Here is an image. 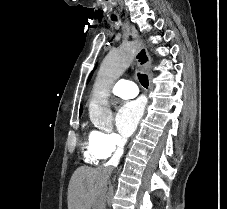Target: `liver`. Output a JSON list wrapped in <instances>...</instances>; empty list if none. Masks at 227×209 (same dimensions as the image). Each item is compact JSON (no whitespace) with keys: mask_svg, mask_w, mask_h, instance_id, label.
I'll list each match as a JSON object with an SVG mask.
<instances>
[{"mask_svg":"<svg viewBox=\"0 0 227 209\" xmlns=\"http://www.w3.org/2000/svg\"><path fill=\"white\" fill-rule=\"evenodd\" d=\"M98 169L79 167L74 171L68 185V209H90L94 183L99 179ZM89 205H85V203Z\"/></svg>","mask_w":227,"mask_h":209,"instance_id":"obj_1","label":"liver"}]
</instances>
